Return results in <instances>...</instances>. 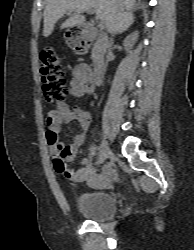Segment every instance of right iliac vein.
<instances>
[{
	"label": "right iliac vein",
	"instance_id": "63e3f726",
	"mask_svg": "<svg viewBox=\"0 0 194 250\" xmlns=\"http://www.w3.org/2000/svg\"><path fill=\"white\" fill-rule=\"evenodd\" d=\"M100 147H101V157H99V163H103L107 158L111 156V151L106 139H102Z\"/></svg>",
	"mask_w": 194,
	"mask_h": 250
}]
</instances>
